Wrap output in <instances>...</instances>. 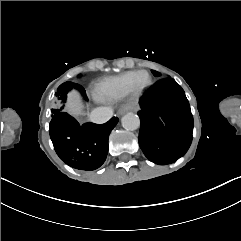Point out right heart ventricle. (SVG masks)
<instances>
[{
    "label": "right heart ventricle",
    "mask_w": 241,
    "mask_h": 241,
    "mask_svg": "<svg viewBox=\"0 0 241 241\" xmlns=\"http://www.w3.org/2000/svg\"><path fill=\"white\" fill-rule=\"evenodd\" d=\"M132 78L131 74H124L119 77L103 79L95 85L94 96L102 99L118 97L129 90Z\"/></svg>",
    "instance_id": "e07e8e85"
}]
</instances>
